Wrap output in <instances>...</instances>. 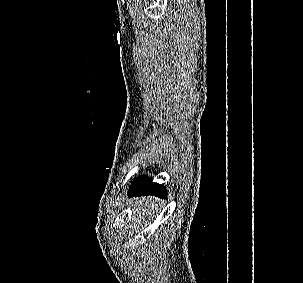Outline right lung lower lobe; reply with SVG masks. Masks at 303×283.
Segmentation results:
<instances>
[{
	"mask_svg": "<svg viewBox=\"0 0 303 283\" xmlns=\"http://www.w3.org/2000/svg\"><path fill=\"white\" fill-rule=\"evenodd\" d=\"M167 190L158 183H153L151 179L146 176L138 177L129 189L130 196L139 195H155L156 197L165 198Z\"/></svg>",
	"mask_w": 303,
	"mask_h": 283,
	"instance_id": "1",
	"label": "right lung lower lobe"
}]
</instances>
